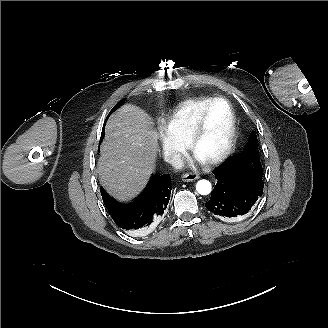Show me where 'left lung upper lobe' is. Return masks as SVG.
Masks as SVG:
<instances>
[{"mask_svg": "<svg viewBox=\"0 0 328 328\" xmlns=\"http://www.w3.org/2000/svg\"><path fill=\"white\" fill-rule=\"evenodd\" d=\"M246 160L254 162L255 160L259 159V151L257 147V136L255 133H252L248 144L246 145L243 153L240 154ZM259 169V168H258ZM261 169V166H260ZM263 172V169H261Z\"/></svg>", "mask_w": 328, "mask_h": 328, "instance_id": "1", "label": "left lung upper lobe"}]
</instances>
